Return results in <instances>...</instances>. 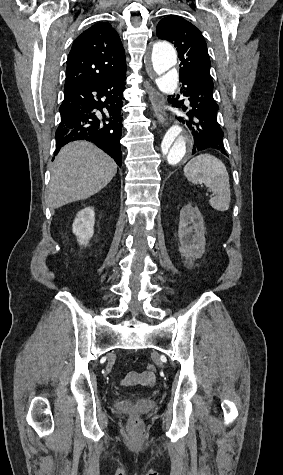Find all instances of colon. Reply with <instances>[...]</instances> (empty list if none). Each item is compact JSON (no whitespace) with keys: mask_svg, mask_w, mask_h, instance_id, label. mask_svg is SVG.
<instances>
[{"mask_svg":"<svg viewBox=\"0 0 283 475\" xmlns=\"http://www.w3.org/2000/svg\"><path fill=\"white\" fill-rule=\"evenodd\" d=\"M156 371H157V368L154 364H148L146 368L145 376L148 378H153V376H155ZM136 422H137V419L133 421V423H136Z\"/></svg>","mask_w":283,"mask_h":475,"instance_id":"obj_1","label":"colon"}]
</instances>
